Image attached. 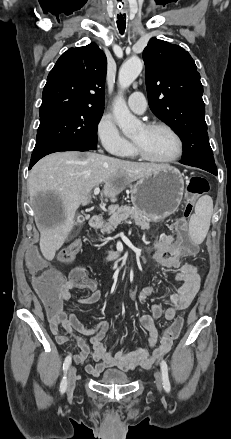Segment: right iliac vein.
I'll list each match as a JSON object with an SVG mask.
<instances>
[{
	"instance_id": "obj_1",
	"label": "right iliac vein",
	"mask_w": 231,
	"mask_h": 439,
	"mask_svg": "<svg viewBox=\"0 0 231 439\" xmlns=\"http://www.w3.org/2000/svg\"><path fill=\"white\" fill-rule=\"evenodd\" d=\"M76 367L71 365L68 372L67 392L70 394L75 388Z\"/></svg>"
}]
</instances>
